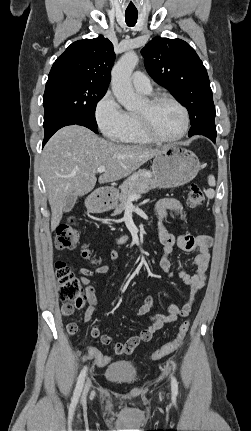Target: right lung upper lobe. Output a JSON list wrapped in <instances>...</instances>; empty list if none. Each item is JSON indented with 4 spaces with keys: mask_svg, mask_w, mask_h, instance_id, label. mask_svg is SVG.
I'll list each match as a JSON object with an SVG mask.
<instances>
[{
    "mask_svg": "<svg viewBox=\"0 0 251 431\" xmlns=\"http://www.w3.org/2000/svg\"><path fill=\"white\" fill-rule=\"evenodd\" d=\"M115 54L103 36L72 43L54 62L48 77L68 75L108 87Z\"/></svg>",
    "mask_w": 251,
    "mask_h": 431,
    "instance_id": "1",
    "label": "right lung upper lobe"
}]
</instances>
